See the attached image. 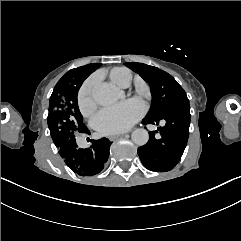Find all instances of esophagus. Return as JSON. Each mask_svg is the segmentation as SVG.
<instances>
[{
	"label": "esophagus",
	"mask_w": 241,
	"mask_h": 241,
	"mask_svg": "<svg viewBox=\"0 0 241 241\" xmlns=\"http://www.w3.org/2000/svg\"><path fill=\"white\" fill-rule=\"evenodd\" d=\"M124 135H125L124 133L114 134V135L108 136V139H109L110 141H114V140H116L117 138H120V137H122V136H124Z\"/></svg>",
	"instance_id": "obj_1"
}]
</instances>
